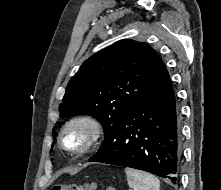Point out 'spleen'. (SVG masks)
<instances>
[{"instance_id":"obj_1","label":"spleen","mask_w":221,"mask_h":190,"mask_svg":"<svg viewBox=\"0 0 221 190\" xmlns=\"http://www.w3.org/2000/svg\"><path fill=\"white\" fill-rule=\"evenodd\" d=\"M128 185L133 190H159L160 181L150 173L133 168H125Z\"/></svg>"}]
</instances>
